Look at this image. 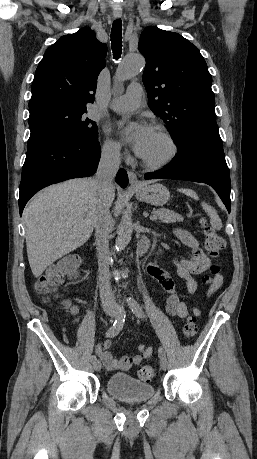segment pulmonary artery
Here are the masks:
<instances>
[{"label": "pulmonary artery", "instance_id": "pulmonary-artery-1", "mask_svg": "<svg viewBox=\"0 0 257 459\" xmlns=\"http://www.w3.org/2000/svg\"><path fill=\"white\" fill-rule=\"evenodd\" d=\"M142 93V86L139 83H132L124 95L111 101L110 108L119 112L134 110L140 106Z\"/></svg>", "mask_w": 257, "mask_h": 459}]
</instances>
